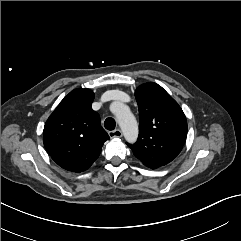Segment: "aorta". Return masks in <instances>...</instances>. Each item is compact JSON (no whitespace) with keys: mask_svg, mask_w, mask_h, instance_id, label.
<instances>
[{"mask_svg":"<svg viewBox=\"0 0 241 241\" xmlns=\"http://www.w3.org/2000/svg\"><path fill=\"white\" fill-rule=\"evenodd\" d=\"M114 114L125 139L130 143L135 142L138 137V124L129 108L122 103H117Z\"/></svg>","mask_w":241,"mask_h":241,"instance_id":"obj_1","label":"aorta"}]
</instances>
